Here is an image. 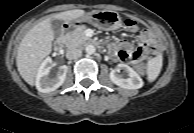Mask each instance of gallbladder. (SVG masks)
Instances as JSON below:
<instances>
[{
    "instance_id": "gallbladder-1",
    "label": "gallbladder",
    "mask_w": 194,
    "mask_h": 133,
    "mask_svg": "<svg viewBox=\"0 0 194 133\" xmlns=\"http://www.w3.org/2000/svg\"><path fill=\"white\" fill-rule=\"evenodd\" d=\"M51 26L54 32V35L56 37H59L62 35L63 29H62V23L61 21L57 20V19H53L51 21Z\"/></svg>"
}]
</instances>
